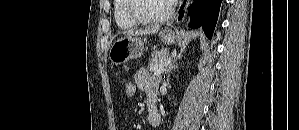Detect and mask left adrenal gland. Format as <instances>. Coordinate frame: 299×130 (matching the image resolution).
I'll return each mask as SVG.
<instances>
[{
  "instance_id": "left-adrenal-gland-1",
  "label": "left adrenal gland",
  "mask_w": 299,
  "mask_h": 130,
  "mask_svg": "<svg viewBox=\"0 0 299 130\" xmlns=\"http://www.w3.org/2000/svg\"><path fill=\"white\" fill-rule=\"evenodd\" d=\"M176 68V65H175V61L173 62V64H170L169 65V67H168V69L165 71V73L167 74V73H169V72H171L173 69H175Z\"/></svg>"
}]
</instances>
